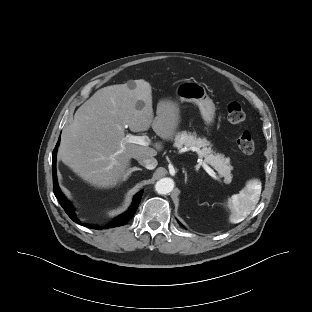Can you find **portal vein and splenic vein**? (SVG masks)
<instances>
[{
  "label": "portal vein and splenic vein",
  "mask_w": 312,
  "mask_h": 312,
  "mask_svg": "<svg viewBox=\"0 0 312 312\" xmlns=\"http://www.w3.org/2000/svg\"><path fill=\"white\" fill-rule=\"evenodd\" d=\"M125 142L138 144V145H142V146H148L150 144V138L146 135L135 136L132 134H127L125 137ZM122 148H124L123 145H122ZM120 152H122V151H120ZM203 167L210 176H212L213 178H216V173L206 163H203Z\"/></svg>",
  "instance_id": "1"
}]
</instances>
